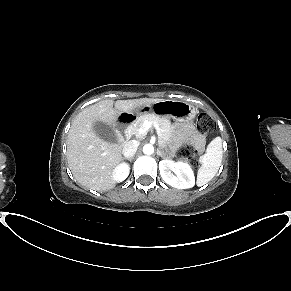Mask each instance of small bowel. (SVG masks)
I'll return each mask as SVG.
<instances>
[{"mask_svg": "<svg viewBox=\"0 0 291 291\" xmlns=\"http://www.w3.org/2000/svg\"><path fill=\"white\" fill-rule=\"evenodd\" d=\"M185 134L187 139L200 142L199 136L197 135L196 131L190 126L185 127Z\"/></svg>", "mask_w": 291, "mask_h": 291, "instance_id": "c3829d8e", "label": "small bowel"}]
</instances>
